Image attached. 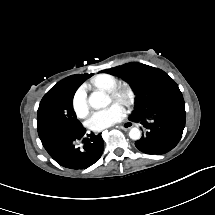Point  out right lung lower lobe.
Returning <instances> with one entry per match:
<instances>
[{
    "instance_id": "1",
    "label": "right lung lower lobe",
    "mask_w": 215,
    "mask_h": 215,
    "mask_svg": "<svg viewBox=\"0 0 215 215\" xmlns=\"http://www.w3.org/2000/svg\"><path fill=\"white\" fill-rule=\"evenodd\" d=\"M85 131L71 133L51 130L39 134V137L43 147L59 165L70 169H86L99 160L104 142L100 133H91L87 135L88 138L82 139Z\"/></svg>"
}]
</instances>
